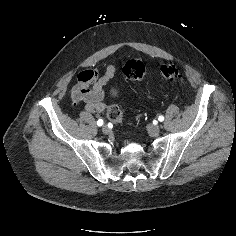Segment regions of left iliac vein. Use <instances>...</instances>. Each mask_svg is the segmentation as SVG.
Listing matches in <instances>:
<instances>
[{
  "label": "left iliac vein",
  "mask_w": 236,
  "mask_h": 236,
  "mask_svg": "<svg viewBox=\"0 0 236 236\" xmlns=\"http://www.w3.org/2000/svg\"><path fill=\"white\" fill-rule=\"evenodd\" d=\"M147 131L150 135L156 136L160 133L161 129H160V126L158 125H148Z\"/></svg>",
  "instance_id": "1"
}]
</instances>
